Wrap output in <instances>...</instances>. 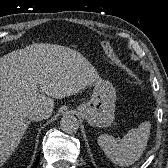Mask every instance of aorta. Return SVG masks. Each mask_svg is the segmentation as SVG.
Masks as SVG:
<instances>
[{
    "instance_id": "aorta-1",
    "label": "aorta",
    "mask_w": 168,
    "mask_h": 168,
    "mask_svg": "<svg viewBox=\"0 0 168 168\" xmlns=\"http://www.w3.org/2000/svg\"><path fill=\"white\" fill-rule=\"evenodd\" d=\"M60 126L64 132L71 134V133L76 132L78 130L79 122L75 116L65 115L64 117H62V119L60 121Z\"/></svg>"
}]
</instances>
